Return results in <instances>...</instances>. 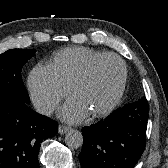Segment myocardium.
Here are the masks:
<instances>
[{"label": "myocardium", "mask_w": 168, "mask_h": 168, "mask_svg": "<svg viewBox=\"0 0 168 168\" xmlns=\"http://www.w3.org/2000/svg\"><path fill=\"white\" fill-rule=\"evenodd\" d=\"M107 59H114L120 64L122 71L121 79L113 98L103 108L92 112L91 115L93 117L105 116L111 113L115 109V107L119 104L126 88L127 76H128L127 66L123 61V59L114 53H104L103 55L92 60L71 86V93L74 95L75 92L92 77L95 68L101 62Z\"/></svg>", "instance_id": "obj_1"}]
</instances>
